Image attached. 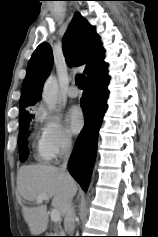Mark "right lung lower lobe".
<instances>
[{"label":"right lung lower lobe","mask_w":158,"mask_h":237,"mask_svg":"<svg viewBox=\"0 0 158 237\" xmlns=\"http://www.w3.org/2000/svg\"><path fill=\"white\" fill-rule=\"evenodd\" d=\"M108 82L107 69L97 73L86 80V90L81 98L85 124L74 145L69 170L84 191L88 187L97 149L98 132L107 109Z\"/></svg>","instance_id":"right-lung-lower-lobe-1"}]
</instances>
